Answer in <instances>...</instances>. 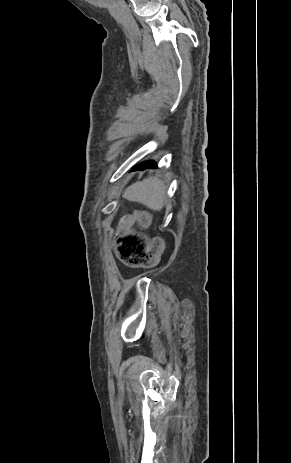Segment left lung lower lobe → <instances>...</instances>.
Instances as JSON below:
<instances>
[{"label":"left lung lower lobe","instance_id":"0a47b994","mask_svg":"<svg viewBox=\"0 0 291 463\" xmlns=\"http://www.w3.org/2000/svg\"><path fill=\"white\" fill-rule=\"evenodd\" d=\"M154 167H156L155 162L147 161V162H145L143 164H140V165L136 166L133 170H144L146 168H154Z\"/></svg>","mask_w":291,"mask_h":463}]
</instances>
